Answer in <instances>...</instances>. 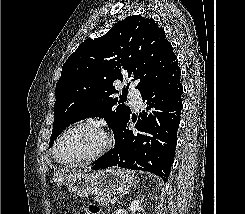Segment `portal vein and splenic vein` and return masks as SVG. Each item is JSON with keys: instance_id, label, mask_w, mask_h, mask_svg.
Instances as JSON below:
<instances>
[{"instance_id": "portal-vein-and-splenic-vein-1", "label": "portal vein and splenic vein", "mask_w": 245, "mask_h": 214, "mask_svg": "<svg viewBox=\"0 0 245 214\" xmlns=\"http://www.w3.org/2000/svg\"><path fill=\"white\" fill-rule=\"evenodd\" d=\"M116 201L114 199L111 200V203L114 204Z\"/></svg>"}]
</instances>
